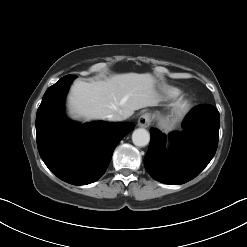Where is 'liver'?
I'll use <instances>...</instances> for the list:
<instances>
[{
	"label": "liver",
	"instance_id": "obj_1",
	"mask_svg": "<svg viewBox=\"0 0 247 247\" xmlns=\"http://www.w3.org/2000/svg\"><path fill=\"white\" fill-rule=\"evenodd\" d=\"M159 96L155 79L149 74H115L101 81L77 80L68 96L69 113L74 119H106L114 113L129 114L156 106Z\"/></svg>",
	"mask_w": 247,
	"mask_h": 247
}]
</instances>
